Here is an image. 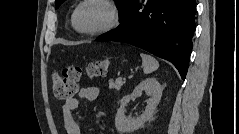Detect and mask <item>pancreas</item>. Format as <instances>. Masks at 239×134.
Returning a JSON list of instances; mask_svg holds the SVG:
<instances>
[{
	"mask_svg": "<svg viewBox=\"0 0 239 134\" xmlns=\"http://www.w3.org/2000/svg\"><path fill=\"white\" fill-rule=\"evenodd\" d=\"M125 83H126L125 79H122V78H118L115 81L110 80L109 81V89L120 90Z\"/></svg>",
	"mask_w": 239,
	"mask_h": 134,
	"instance_id": "1",
	"label": "pancreas"
}]
</instances>
